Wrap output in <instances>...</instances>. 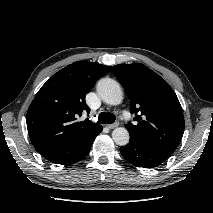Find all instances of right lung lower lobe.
<instances>
[{
	"mask_svg": "<svg viewBox=\"0 0 213 213\" xmlns=\"http://www.w3.org/2000/svg\"><path fill=\"white\" fill-rule=\"evenodd\" d=\"M102 127L92 134L91 136L85 138L80 143L73 147L65 148V149H50L43 150L39 153L46 158L47 160L56 163V164H74L82 160L89 153L91 145L97 135L101 133Z\"/></svg>",
	"mask_w": 213,
	"mask_h": 213,
	"instance_id": "1",
	"label": "right lung lower lobe"
}]
</instances>
